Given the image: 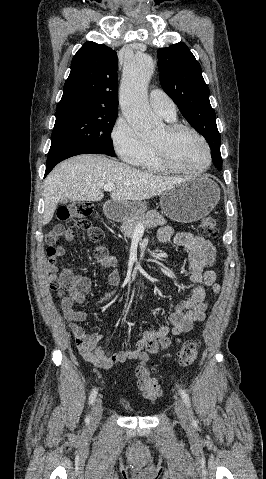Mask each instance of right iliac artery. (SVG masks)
Here are the masks:
<instances>
[{
  "mask_svg": "<svg viewBox=\"0 0 266 479\" xmlns=\"http://www.w3.org/2000/svg\"><path fill=\"white\" fill-rule=\"evenodd\" d=\"M98 390L94 389L89 396V404H92L97 397Z\"/></svg>",
  "mask_w": 266,
  "mask_h": 479,
  "instance_id": "82829eb1",
  "label": "right iliac artery"
}]
</instances>
